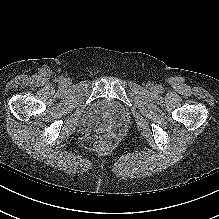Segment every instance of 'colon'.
Here are the masks:
<instances>
[{
  "label": "colon",
  "mask_w": 219,
  "mask_h": 219,
  "mask_svg": "<svg viewBox=\"0 0 219 219\" xmlns=\"http://www.w3.org/2000/svg\"><path fill=\"white\" fill-rule=\"evenodd\" d=\"M109 148V142L106 139H99L94 143L96 151H103Z\"/></svg>",
  "instance_id": "obj_1"
}]
</instances>
